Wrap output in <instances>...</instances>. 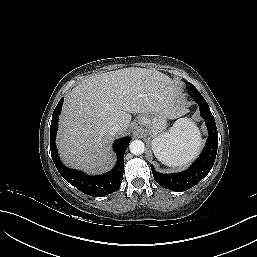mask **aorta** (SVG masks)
<instances>
[{
	"label": "aorta",
	"instance_id": "aorta-1",
	"mask_svg": "<svg viewBox=\"0 0 257 257\" xmlns=\"http://www.w3.org/2000/svg\"><path fill=\"white\" fill-rule=\"evenodd\" d=\"M130 152L134 155H141L145 150V145L141 140H133L129 144Z\"/></svg>",
	"mask_w": 257,
	"mask_h": 257
}]
</instances>
